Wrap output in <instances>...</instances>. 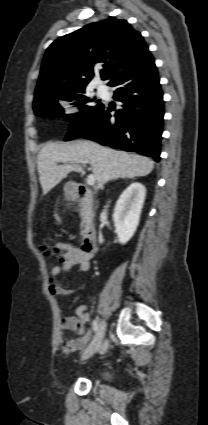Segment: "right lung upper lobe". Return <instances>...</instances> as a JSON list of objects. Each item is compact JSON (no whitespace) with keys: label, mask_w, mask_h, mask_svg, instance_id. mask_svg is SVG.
<instances>
[{"label":"right lung upper lobe","mask_w":208,"mask_h":425,"mask_svg":"<svg viewBox=\"0 0 208 425\" xmlns=\"http://www.w3.org/2000/svg\"><path fill=\"white\" fill-rule=\"evenodd\" d=\"M150 52L140 32L126 21L109 17L55 40L44 55L34 102L53 93L85 89L98 65L101 78L112 80L121 70Z\"/></svg>","instance_id":"obj_1"}]
</instances>
